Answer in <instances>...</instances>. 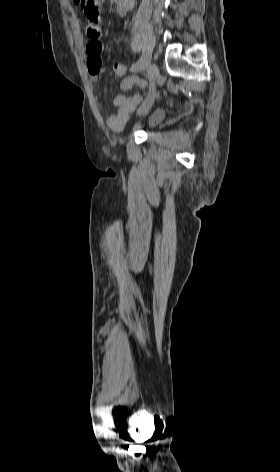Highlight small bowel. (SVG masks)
Wrapping results in <instances>:
<instances>
[{"mask_svg": "<svg viewBox=\"0 0 280 472\" xmlns=\"http://www.w3.org/2000/svg\"><path fill=\"white\" fill-rule=\"evenodd\" d=\"M116 6L117 10L123 9L126 14L133 7V0H117ZM86 35L88 37L86 45L87 70L90 79L95 82L98 80L101 72V52L103 47L101 42L102 30L99 21L93 22L88 20L86 25ZM134 85L144 87L145 82L135 76H129L122 81L121 89L128 90ZM141 99L142 95L140 94H120L116 96L114 99L115 112L109 117L108 124L114 128L121 125L133 107L140 102Z\"/></svg>", "mask_w": 280, "mask_h": 472, "instance_id": "obj_1", "label": "small bowel"}]
</instances>
